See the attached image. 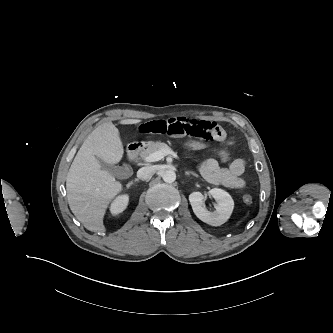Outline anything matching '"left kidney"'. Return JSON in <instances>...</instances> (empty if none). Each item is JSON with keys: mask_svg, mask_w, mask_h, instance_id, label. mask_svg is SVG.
<instances>
[{"mask_svg": "<svg viewBox=\"0 0 333 333\" xmlns=\"http://www.w3.org/2000/svg\"><path fill=\"white\" fill-rule=\"evenodd\" d=\"M209 194L216 200L217 206L213 211H208L204 205V195L201 192H193L189 195V202L192 206L194 214L203 222L220 226L225 223L234 208V201L226 191L213 188Z\"/></svg>", "mask_w": 333, "mask_h": 333, "instance_id": "obj_1", "label": "left kidney"}]
</instances>
